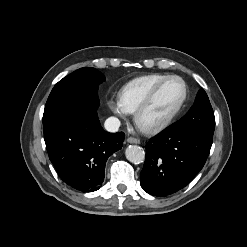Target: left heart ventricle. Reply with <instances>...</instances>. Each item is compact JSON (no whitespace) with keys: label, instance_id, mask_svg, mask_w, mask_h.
<instances>
[{"label":"left heart ventricle","instance_id":"left-heart-ventricle-1","mask_svg":"<svg viewBox=\"0 0 247 247\" xmlns=\"http://www.w3.org/2000/svg\"><path fill=\"white\" fill-rule=\"evenodd\" d=\"M183 84L176 79L168 81L158 92L151 106L142 117V123L151 125L170 115L181 101Z\"/></svg>","mask_w":247,"mask_h":247}]
</instances>
